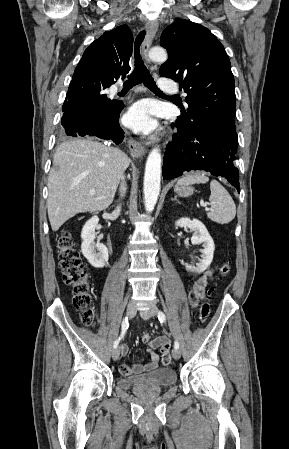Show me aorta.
I'll use <instances>...</instances> for the list:
<instances>
[{
  "instance_id": "1",
  "label": "aorta",
  "mask_w": 289,
  "mask_h": 449,
  "mask_svg": "<svg viewBox=\"0 0 289 449\" xmlns=\"http://www.w3.org/2000/svg\"><path fill=\"white\" fill-rule=\"evenodd\" d=\"M149 58L163 63L167 60V53L161 47H153L149 51ZM161 161L160 150L152 149L146 161L144 175V204L147 212L153 211L160 193Z\"/></svg>"
}]
</instances>
